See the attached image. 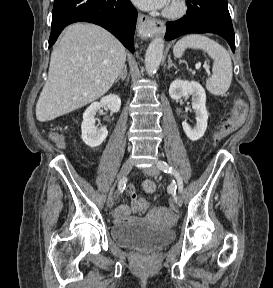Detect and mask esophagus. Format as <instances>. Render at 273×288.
Masks as SVG:
<instances>
[{
    "instance_id": "obj_1",
    "label": "esophagus",
    "mask_w": 273,
    "mask_h": 288,
    "mask_svg": "<svg viewBox=\"0 0 273 288\" xmlns=\"http://www.w3.org/2000/svg\"><path fill=\"white\" fill-rule=\"evenodd\" d=\"M138 31L143 36L151 34H162L165 32V25L162 21L150 18L147 15H138Z\"/></svg>"
}]
</instances>
